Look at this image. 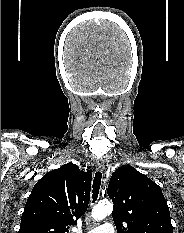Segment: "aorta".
Returning a JSON list of instances; mask_svg holds the SVG:
<instances>
[{
  "instance_id": "obj_1",
  "label": "aorta",
  "mask_w": 184,
  "mask_h": 233,
  "mask_svg": "<svg viewBox=\"0 0 184 233\" xmlns=\"http://www.w3.org/2000/svg\"><path fill=\"white\" fill-rule=\"evenodd\" d=\"M112 204L109 201H100L92 210V218L100 221L111 214Z\"/></svg>"
}]
</instances>
